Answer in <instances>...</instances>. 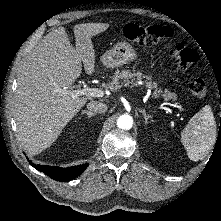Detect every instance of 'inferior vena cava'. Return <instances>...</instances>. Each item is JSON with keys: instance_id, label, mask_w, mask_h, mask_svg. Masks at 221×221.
Wrapping results in <instances>:
<instances>
[{"instance_id": "obj_1", "label": "inferior vena cava", "mask_w": 221, "mask_h": 221, "mask_svg": "<svg viewBox=\"0 0 221 221\" xmlns=\"http://www.w3.org/2000/svg\"><path fill=\"white\" fill-rule=\"evenodd\" d=\"M87 108L95 113H104L107 111L108 107L106 104L97 102V101H91L87 104Z\"/></svg>"}]
</instances>
